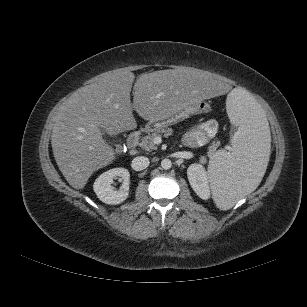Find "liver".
Returning <instances> with one entry per match:
<instances>
[{"label": "liver", "instance_id": "6515ba94", "mask_svg": "<svg viewBox=\"0 0 307 307\" xmlns=\"http://www.w3.org/2000/svg\"><path fill=\"white\" fill-rule=\"evenodd\" d=\"M134 78L132 72L122 69L106 72L96 82L78 89L59 108L51 144L56 163L73 188H84L90 176L115 157L102 137L101 127L109 135H117L136 127L133 110L149 120L228 91L225 83L212 80L206 72L181 67L137 78L132 104Z\"/></svg>", "mask_w": 307, "mask_h": 307}]
</instances>
